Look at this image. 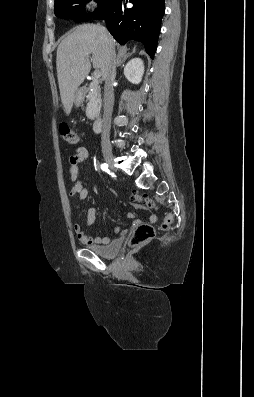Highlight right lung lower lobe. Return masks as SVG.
<instances>
[{
	"instance_id": "1",
	"label": "right lung lower lobe",
	"mask_w": 254,
	"mask_h": 397,
	"mask_svg": "<svg viewBox=\"0 0 254 397\" xmlns=\"http://www.w3.org/2000/svg\"><path fill=\"white\" fill-rule=\"evenodd\" d=\"M128 2L133 7L128 8ZM164 12V0H113L104 12L94 18L104 19L109 32L120 44L130 39L142 42L153 59Z\"/></svg>"
}]
</instances>
